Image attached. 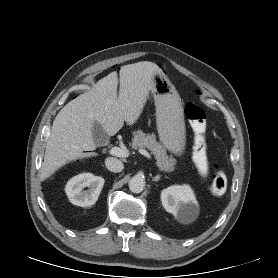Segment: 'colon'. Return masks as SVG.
Instances as JSON below:
<instances>
[{"label":"colon","instance_id":"5ec220e1","mask_svg":"<svg viewBox=\"0 0 278 278\" xmlns=\"http://www.w3.org/2000/svg\"><path fill=\"white\" fill-rule=\"evenodd\" d=\"M185 115L194 131L193 156L197 164L206 163L207 143H206V112L195 102H188L185 106ZM227 188V175L222 168H218L209 185V192L213 196H221Z\"/></svg>","mask_w":278,"mask_h":278}]
</instances>
